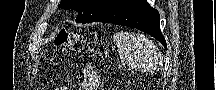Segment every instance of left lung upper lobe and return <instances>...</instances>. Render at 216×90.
<instances>
[{"label":"left lung upper lobe","instance_id":"5c2ea615","mask_svg":"<svg viewBox=\"0 0 216 90\" xmlns=\"http://www.w3.org/2000/svg\"><path fill=\"white\" fill-rule=\"evenodd\" d=\"M129 0H62L58 7L78 12L77 23L94 22L105 13L119 8Z\"/></svg>","mask_w":216,"mask_h":90}]
</instances>
